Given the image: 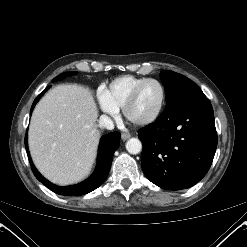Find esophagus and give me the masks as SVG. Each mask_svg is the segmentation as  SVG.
<instances>
[{"label": "esophagus", "instance_id": "esophagus-1", "mask_svg": "<svg viewBox=\"0 0 247 247\" xmlns=\"http://www.w3.org/2000/svg\"><path fill=\"white\" fill-rule=\"evenodd\" d=\"M131 137V135L130 134H128V133H122L121 134V138H122V140H127V139H129Z\"/></svg>", "mask_w": 247, "mask_h": 247}]
</instances>
